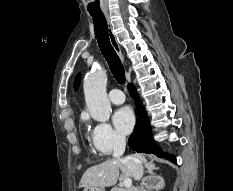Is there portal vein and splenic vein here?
<instances>
[{"mask_svg":"<svg viewBox=\"0 0 233 191\" xmlns=\"http://www.w3.org/2000/svg\"><path fill=\"white\" fill-rule=\"evenodd\" d=\"M124 186L125 188H130L132 186V180L130 178H127L124 180Z\"/></svg>","mask_w":233,"mask_h":191,"instance_id":"18ae733b","label":"portal vein and splenic vein"}]
</instances>
